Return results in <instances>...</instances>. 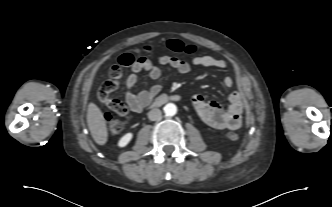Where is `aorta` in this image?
<instances>
[{"label": "aorta", "instance_id": "762f6f07", "mask_svg": "<svg viewBox=\"0 0 332 207\" xmlns=\"http://www.w3.org/2000/svg\"><path fill=\"white\" fill-rule=\"evenodd\" d=\"M164 113L167 116H174L177 113V107L173 103H168L164 106Z\"/></svg>", "mask_w": 332, "mask_h": 207}]
</instances>
